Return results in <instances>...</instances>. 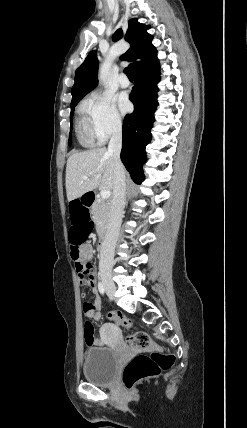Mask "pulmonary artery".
Here are the masks:
<instances>
[{
  "label": "pulmonary artery",
  "mask_w": 247,
  "mask_h": 428,
  "mask_svg": "<svg viewBox=\"0 0 247 428\" xmlns=\"http://www.w3.org/2000/svg\"><path fill=\"white\" fill-rule=\"evenodd\" d=\"M119 85L122 88H126L129 86L130 82L124 74H121L118 79Z\"/></svg>",
  "instance_id": "pulmonary-artery-1"
}]
</instances>
